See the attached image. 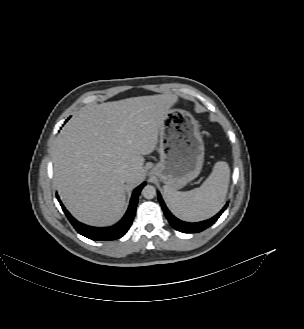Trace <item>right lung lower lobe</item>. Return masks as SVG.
Listing matches in <instances>:
<instances>
[{
    "instance_id": "98d812e1",
    "label": "right lung lower lobe",
    "mask_w": 304,
    "mask_h": 329,
    "mask_svg": "<svg viewBox=\"0 0 304 329\" xmlns=\"http://www.w3.org/2000/svg\"><path fill=\"white\" fill-rule=\"evenodd\" d=\"M145 185L146 182L142 183L134 190L126 214L117 224L111 227L97 228V227H91L82 224L70 215V213L65 209L59 198L58 201L60 202V205L62 206V209L66 214L67 218L69 219V221L71 222V224L77 230L78 233L92 240H101V241L115 240L124 236L126 232L129 230L136 212L138 196L140 194V191Z\"/></svg>"
}]
</instances>
